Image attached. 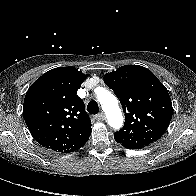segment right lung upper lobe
I'll use <instances>...</instances> for the list:
<instances>
[{
	"label": "right lung upper lobe",
	"instance_id": "1",
	"mask_svg": "<svg viewBox=\"0 0 196 196\" xmlns=\"http://www.w3.org/2000/svg\"><path fill=\"white\" fill-rule=\"evenodd\" d=\"M86 78L73 66L58 67L44 73L28 89L23 116L41 146L70 153L88 141L91 121L77 95Z\"/></svg>",
	"mask_w": 196,
	"mask_h": 196
}]
</instances>
